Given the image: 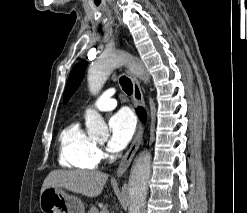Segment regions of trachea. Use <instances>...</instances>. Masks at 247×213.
<instances>
[{
	"label": "trachea",
	"instance_id": "obj_1",
	"mask_svg": "<svg viewBox=\"0 0 247 213\" xmlns=\"http://www.w3.org/2000/svg\"><path fill=\"white\" fill-rule=\"evenodd\" d=\"M119 81H120V85H121L123 91L127 95H131L133 92V85H132L131 80L125 76H122Z\"/></svg>",
	"mask_w": 247,
	"mask_h": 213
}]
</instances>
